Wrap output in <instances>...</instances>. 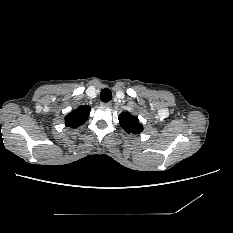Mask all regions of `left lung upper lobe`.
Instances as JSON below:
<instances>
[{"label":"left lung upper lobe","mask_w":233,"mask_h":233,"mask_svg":"<svg viewBox=\"0 0 233 233\" xmlns=\"http://www.w3.org/2000/svg\"><path fill=\"white\" fill-rule=\"evenodd\" d=\"M119 123L128 133L138 134L143 130L142 124L139 123L138 117L133 116L128 112L120 114Z\"/></svg>","instance_id":"1"}]
</instances>
